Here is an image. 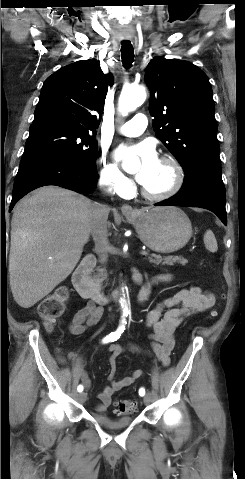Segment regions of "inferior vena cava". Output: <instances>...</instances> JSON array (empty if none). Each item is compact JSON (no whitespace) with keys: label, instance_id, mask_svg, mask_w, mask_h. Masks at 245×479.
Here are the masks:
<instances>
[{"label":"inferior vena cava","instance_id":"obj_1","mask_svg":"<svg viewBox=\"0 0 245 479\" xmlns=\"http://www.w3.org/2000/svg\"><path fill=\"white\" fill-rule=\"evenodd\" d=\"M100 189L106 195L111 193V187L106 183L99 184ZM110 208L106 204H100L93 202L89 207V226L90 231L95 242L96 252L99 257V261L105 264L108 260V252L110 250V244L108 240L107 219Z\"/></svg>","mask_w":245,"mask_h":479}]
</instances>
